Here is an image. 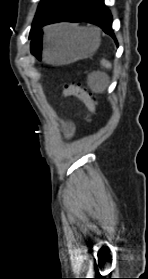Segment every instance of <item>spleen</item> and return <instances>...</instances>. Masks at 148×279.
Instances as JSON below:
<instances>
[{
    "instance_id": "1",
    "label": "spleen",
    "mask_w": 148,
    "mask_h": 279,
    "mask_svg": "<svg viewBox=\"0 0 148 279\" xmlns=\"http://www.w3.org/2000/svg\"><path fill=\"white\" fill-rule=\"evenodd\" d=\"M80 30L83 33H98L99 31L95 28H80ZM101 65L105 68H111V63L105 59L101 60ZM108 84V77L105 74H98L93 77H90L89 79V85L90 87L96 92V93H102Z\"/></svg>"
}]
</instances>
